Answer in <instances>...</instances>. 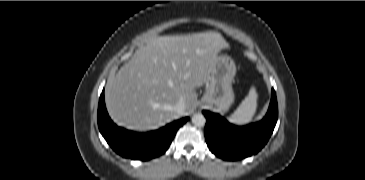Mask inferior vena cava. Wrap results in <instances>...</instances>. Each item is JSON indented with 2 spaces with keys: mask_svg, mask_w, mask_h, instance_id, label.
I'll return each instance as SVG.
<instances>
[{
  "mask_svg": "<svg viewBox=\"0 0 365 180\" xmlns=\"http://www.w3.org/2000/svg\"><path fill=\"white\" fill-rule=\"evenodd\" d=\"M174 110L178 113V114H183L184 110H185V102L184 100H179L178 103L175 105Z\"/></svg>",
  "mask_w": 365,
  "mask_h": 180,
  "instance_id": "inferior-vena-cava-1",
  "label": "inferior vena cava"
}]
</instances>
